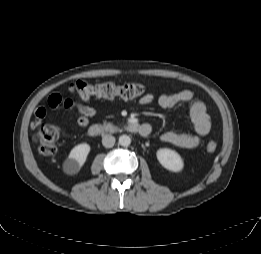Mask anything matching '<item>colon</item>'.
Here are the masks:
<instances>
[{"label": "colon", "mask_w": 261, "mask_h": 254, "mask_svg": "<svg viewBox=\"0 0 261 254\" xmlns=\"http://www.w3.org/2000/svg\"><path fill=\"white\" fill-rule=\"evenodd\" d=\"M71 92L80 99H89L91 97L114 98L120 97L126 100L136 99L145 96L146 88L139 83H128L116 85L110 82L90 83L86 81H77L70 87ZM48 104L56 107L61 104V99L57 95H52ZM41 111V110H40ZM60 136V130L54 125L38 126L35 141L38 144L39 151L44 157L52 156L56 151V143ZM217 149V144L213 141L208 142L206 151L213 153Z\"/></svg>", "instance_id": "1"}]
</instances>
